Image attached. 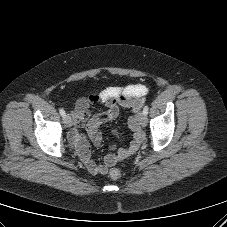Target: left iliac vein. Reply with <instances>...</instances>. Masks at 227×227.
Instances as JSON below:
<instances>
[{
  "instance_id": "4c4485c4",
  "label": "left iliac vein",
  "mask_w": 227,
  "mask_h": 227,
  "mask_svg": "<svg viewBox=\"0 0 227 227\" xmlns=\"http://www.w3.org/2000/svg\"><path fill=\"white\" fill-rule=\"evenodd\" d=\"M138 121L142 127H145L147 125V116L143 112L140 113L138 116Z\"/></svg>"
}]
</instances>
